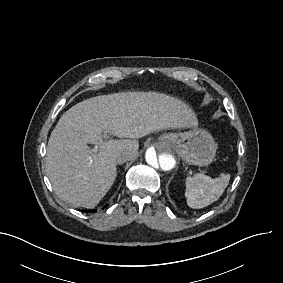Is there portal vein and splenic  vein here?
Returning <instances> with one entry per match:
<instances>
[{"label":"portal vein and splenic vein","instance_id":"portal-vein-and-splenic-vein-1","mask_svg":"<svg viewBox=\"0 0 283 283\" xmlns=\"http://www.w3.org/2000/svg\"><path fill=\"white\" fill-rule=\"evenodd\" d=\"M103 138H108L107 132H104ZM93 151L96 152V151H97V147H95V148L93 149Z\"/></svg>","mask_w":283,"mask_h":283}]
</instances>
